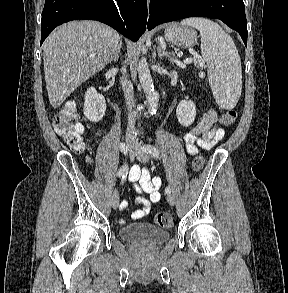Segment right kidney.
<instances>
[{
  "label": "right kidney",
  "mask_w": 288,
  "mask_h": 293,
  "mask_svg": "<svg viewBox=\"0 0 288 293\" xmlns=\"http://www.w3.org/2000/svg\"><path fill=\"white\" fill-rule=\"evenodd\" d=\"M84 115L91 122L100 121L106 112V101L94 87H90L85 93Z\"/></svg>",
  "instance_id": "1"
}]
</instances>
